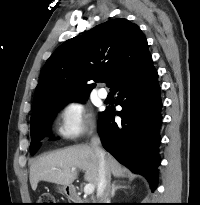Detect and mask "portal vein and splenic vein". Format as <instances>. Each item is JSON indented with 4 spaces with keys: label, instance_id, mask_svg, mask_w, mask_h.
Returning <instances> with one entry per match:
<instances>
[{
    "label": "portal vein and splenic vein",
    "instance_id": "18ae733b",
    "mask_svg": "<svg viewBox=\"0 0 200 205\" xmlns=\"http://www.w3.org/2000/svg\"><path fill=\"white\" fill-rule=\"evenodd\" d=\"M72 171H75V169H72ZM94 185L93 184H86L85 186H84V193L85 194H92L93 193V191H94Z\"/></svg>",
    "mask_w": 200,
    "mask_h": 205
}]
</instances>
